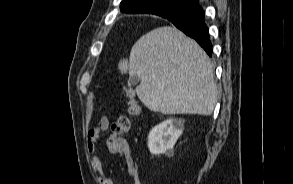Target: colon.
Instances as JSON below:
<instances>
[{
  "label": "colon",
  "mask_w": 293,
  "mask_h": 184,
  "mask_svg": "<svg viewBox=\"0 0 293 184\" xmlns=\"http://www.w3.org/2000/svg\"><path fill=\"white\" fill-rule=\"evenodd\" d=\"M118 68L122 74H126L129 68L128 60L121 58L118 62ZM126 94L128 97L127 115L120 116L112 125L113 135L108 141L109 149L112 152H121L123 150V142L119 136L126 133L130 129L131 118L140 113V107L134 98L132 90L126 89Z\"/></svg>",
  "instance_id": "5ec220e1"
}]
</instances>
